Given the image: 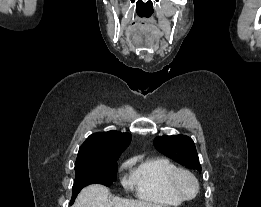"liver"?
<instances>
[{
  "label": "liver",
  "mask_w": 261,
  "mask_h": 207,
  "mask_svg": "<svg viewBox=\"0 0 261 207\" xmlns=\"http://www.w3.org/2000/svg\"><path fill=\"white\" fill-rule=\"evenodd\" d=\"M108 194V188L103 185L87 186L79 193L73 207H163L159 204L141 200L119 197L109 199Z\"/></svg>",
  "instance_id": "6515ba94"
}]
</instances>
